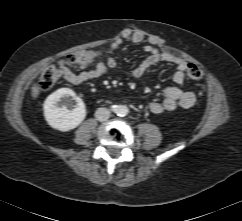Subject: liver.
<instances>
[{"label":"liver","mask_w":242,"mask_h":221,"mask_svg":"<svg viewBox=\"0 0 242 221\" xmlns=\"http://www.w3.org/2000/svg\"><path fill=\"white\" fill-rule=\"evenodd\" d=\"M40 93V88L37 85H33L31 88V96L36 99Z\"/></svg>","instance_id":"6515ba94"}]
</instances>
